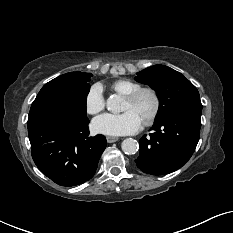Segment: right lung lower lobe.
I'll return each instance as SVG.
<instances>
[{
    "label": "right lung lower lobe",
    "mask_w": 233,
    "mask_h": 233,
    "mask_svg": "<svg viewBox=\"0 0 233 233\" xmlns=\"http://www.w3.org/2000/svg\"><path fill=\"white\" fill-rule=\"evenodd\" d=\"M88 123L65 109H43L28 117L33 160L58 185L82 184L96 172L107 141L103 135L90 137Z\"/></svg>",
    "instance_id": "1"
}]
</instances>
